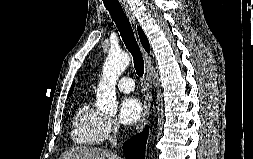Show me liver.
I'll return each instance as SVG.
<instances>
[{
    "mask_svg": "<svg viewBox=\"0 0 253 159\" xmlns=\"http://www.w3.org/2000/svg\"><path fill=\"white\" fill-rule=\"evenodd\" d=\"M59 159H121L115 152L101 148L78 146L64 152Z\"/></svg>",
    "mask_w": 253,
    "mask_h": 159,
    "instance_id": "6515ba94",
    "label": "liver"
}]
</instances>
